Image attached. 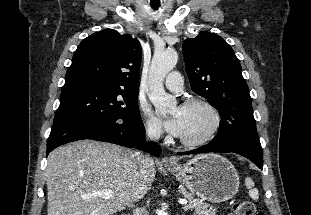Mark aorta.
Returning a JSON list of instances; mask_svg holds the SVG:
<instances>
[{"label":"aorta","mask_w":311,"mask_h":215,"mask_svg":"<svg viewBox=\"0 0 311 215\" xmlns=\"http://www.w3.org/2000/svg\"><path fill=\"white\" fill-rule=\"evenodd\" d=\"M178 54L173 49L156 52L152 58L149 71V99L160 115L171 113L175 107V99L167 95L163 81L166 75L176 66Z\"/></svg>","instance_id":"762f6f07"}]
</instances>
